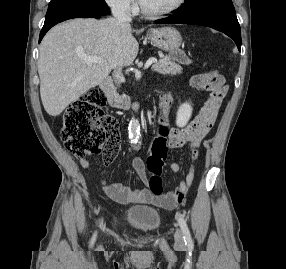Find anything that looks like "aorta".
Returning a JSON list of instances; mask_svg holds the SVG:
<instances>
[{"label": "aorta", "instance_id": "762f6f07", "mask_svg": "<svg viewBox=\"0 0 286 269\" xmlns=\"http://www.w3.org/2000/svg\"><path fill=\"white\" fill-rule=\"evenodd\" d=\"M129 139L132 143H136L140 138V124L139 121L133 118L128 127Z\"/></svg>", "mask_w": 286, "mask_h": 269}]
</instances>
